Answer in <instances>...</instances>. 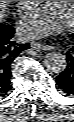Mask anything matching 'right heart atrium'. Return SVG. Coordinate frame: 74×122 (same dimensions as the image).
Instances as JSON below:
<instances>
[{"instance_id": "1", "label": "right heart atrium", "mask_w": 74, "mask_h": 122, "mask_svg": "<svg viewBox=\"0 0 74 122\" xmlns=\"http://www.w3.org/2000/svg\"><path fill=\"white\" fill-rule=\"evenodd\" d=\"M12 2H14V5L16 6L17 9V13L19 15L23 14L27 15L31 10L33 4L35 3V1H12Z\"/></svg>"}]
</instances>
